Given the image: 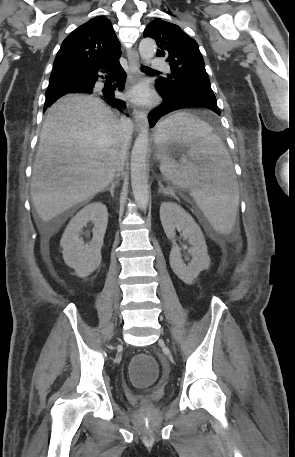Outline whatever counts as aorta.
<instances>
[{
  "instance_id": "762f6f07",
  "label": "aorta",
  "mask_w": 295,
  "mask_h": 457,
  "mask_svg": "<svg viewBox=\"0 0 295 457\" xmlns=\"http://www.w3.org/2000/svg\"><path fill=\"white\" fill-rule=\"evenodd\" d=\"M156 53L153 39H142L139 44V54L143 61L148 62ZM149 144L148 130L144 129L135 140L131 152V185L135 201L142 210H146L149 202L147 152Z\"/></svg>"
}]
</instances>
